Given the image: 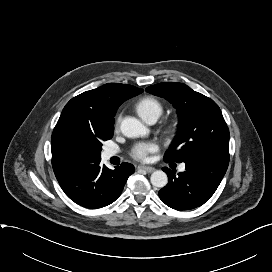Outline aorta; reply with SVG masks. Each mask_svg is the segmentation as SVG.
I'll return each mask as SVG.
<instances>
[{
  "label": "aorta",
  "mask_w": 272,
  "mask_h": 272,
  "mask_svg": "<svg viewBox=\"0 0 272 272\" xmlns=\"http://www.w3.org/2000/svg\"><path fill=\"white\" fill-rule=\"evenodd\" d=\"M120 129L125 136L131 138L145 136L149 133L148 128L134 117L124 118ZM150 181L153 186L163 188L168 183V177L164 171L157 170L151 174Z\"/></svg>",
  "instance_id": "aorta-1"
}]
</instances>
